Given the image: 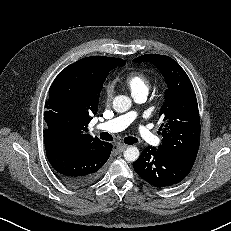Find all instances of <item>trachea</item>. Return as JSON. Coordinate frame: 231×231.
I'll return each mask as SVG.
<instances>
[{
	"mask_svg": "<svg viewBox=\"0 0 231 231\" xmlns=\"http://www.w3.org/2000/svg\"><path fill=\"white\" fill-rule=\"evenodd\" d=\"M100 138L102 139V140H105V141H113V137H112V135H110L109 133H107V132H102L101 134H100ZM138 142V139L137 138H135V137H125L124 138V143L125 144H128V145H131V144H135V143H137Z\"/></svg>",
	"mask_w": 231,
	"mask_h": 231,
	"instance_id": "obj_1",
	"label": "trachea"
}]
</instances>
